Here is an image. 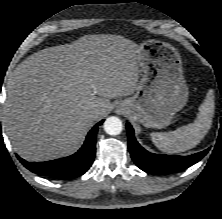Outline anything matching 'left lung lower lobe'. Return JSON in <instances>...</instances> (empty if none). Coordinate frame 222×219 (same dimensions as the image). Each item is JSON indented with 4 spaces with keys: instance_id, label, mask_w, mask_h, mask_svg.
<instances>
[{
    "instance_id": "obj_1",
    "label": "left lung lower lobe",
    "mask_w": 222,
    "mask_h": 219,
    "mask_svg": "<svg viewBox=\"0 0 222 219\" xmlns=\"http://www.w3.org/2000/svg\"><path fill=\"white\" fill-rule=\"evenodd\" d=\"M196 49L204 56L202 49L195 45ZM128 149L134 163L143 171L151 174H170L187 169L200 161L208 152V149L190 156H172L150 153L139 145L134 136L132 126L127 123Z\"/></svg>"
}]
</instances>
